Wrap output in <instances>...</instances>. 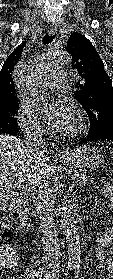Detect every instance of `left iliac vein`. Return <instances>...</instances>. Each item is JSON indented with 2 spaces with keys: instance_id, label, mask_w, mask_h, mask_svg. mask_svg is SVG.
Listing matches in <instances>:
<instances>
[{
  "instance_id": "4c4485c4",
  "label": "left iliac vein",
  "mask_w": 113,
  "mask_h": 279,
  "mask_svg": "<svg viewBox=\"0 0 113 279\" xmlns=\"http://www.w3.org/2000/svg\"><path fill=\"white\" fill-rule=\"evenodd\" d=\"M46 279H58V277L51 276L50 273L46 274Z\"/></svg>"
}]
</instances>
